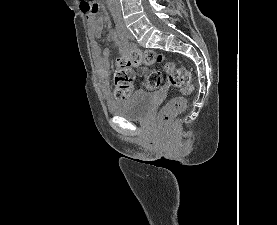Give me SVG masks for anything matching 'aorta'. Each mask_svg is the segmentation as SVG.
Masks as SVG:
<instances>
[{"mask_svg":"<svg viewBox=\"0 0 277 225\" xmlns=\"http://www.w3.org/2000/svg\"><path fill=\"white\" fill-rule=\"evenodd\" d=\"M110 12L115 20L121 19V7L119 0H107Z\"/></svg>","mask_w":277,"mask_h":225,"instance_id":"aorta-1","label":"aorta"}]
</instances>
